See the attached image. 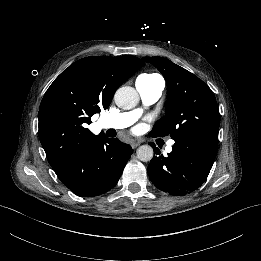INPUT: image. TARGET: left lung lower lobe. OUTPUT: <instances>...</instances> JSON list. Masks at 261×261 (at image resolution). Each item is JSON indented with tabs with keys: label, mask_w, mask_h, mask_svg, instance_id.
Instances as JSON below:
<instances>
[{
	"label": "left lung lower lobe",
	"mask_w": 261,
	"mask_h": 261,
	"mask_svg": "<svg viewBox=\"0 0 261 261\" xmlns=\"http://www.w3.org/2000/svg\"><path fill=\"white\" fill-rule=\"evenodd\" d=\"M154 157L147 171L153 184L161 191L182 196L199 188L206 180L215 160L218 141L203 136H188L175 141L167 157Z\"/></svg>",
	"instance_id": "0a47b994"
}]
</instances>
